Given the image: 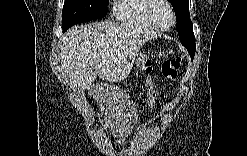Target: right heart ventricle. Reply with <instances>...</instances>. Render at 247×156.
Returning a JSON list of instances; mask_svg holds the SVG:
<instances>
[{
  "mask_svg": "<svg viewBox=\"0 0 247 156\" xmlns=\"http://www.w3.org/2000/svg\"><path fill=\"white\" fill-rule=\"evenodd\" d=\"M150 0H120L115 2L114 15L119 21L142 28H155L148 19L147 6Z\"/></svg>",
  "mask_w": 247,
  "mask_h": 156,
  "instance_id": "obj_1",
  "label": "right heart ventricle"
}]
</instances>
